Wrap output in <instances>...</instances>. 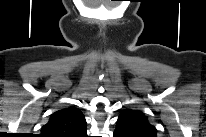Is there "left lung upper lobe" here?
I'll return each mask as SVG.
<instances>
[{"mask_svg": "<svg viewBox=\"0 0 206 137\" xmlns=\"http://www.w3.org/2000/svg\"><path fill=\"white\" fill-rule=\"evenodd\" d=\"M116 132L126 137H156V128L140 110L125 109L117 121Z\"/></svg>", "mask_w": 206, "mask_h": 137, "instance_id": "left-lung-upper-lobe-1", "label": "left lung upper lobe"}]
</instances>
